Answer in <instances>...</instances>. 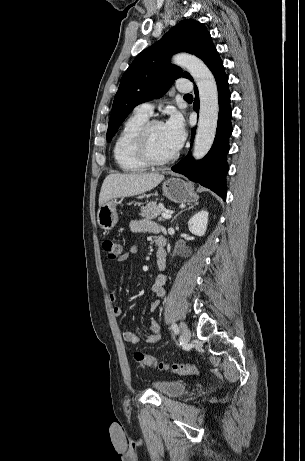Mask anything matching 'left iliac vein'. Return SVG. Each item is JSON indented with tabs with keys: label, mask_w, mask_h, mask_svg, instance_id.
<instances>
[{
	"label": "left iliac vein",
	"mask_w": 305,
	"mask_h": 461,
	"mask_svg": "<svg viewBox=\"0 0 305 461\" xmlns=\"http://www.w3.org/2000/svg\"><path fill=\"white\" fill-rule=\"evenodd\" d=\"M180 333H181V339L183 342H188L191 338V332L188 328V326L184 323L181 322L180 324Z\"/></svg>",
	"instance_id": "left-iliac-vein-1"
}]
</instances>
